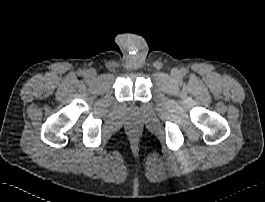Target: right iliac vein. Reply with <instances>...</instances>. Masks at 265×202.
<instances>
[{"instance_id":"right-iliac-vein-1","label":"right iliac vein","mask_w":265,"mask_h":202,"mask_svg":"<svg viewBox=\"0 0 265 202\" xmlns=\"http://www.w3.org/2000/svg\"><path fill=\"white\" fill-rule=\"evenodd\" d=\"M88 81H93L95 79V73L91 72L88 76H87Z\"/></svg>"}]
</instances>
